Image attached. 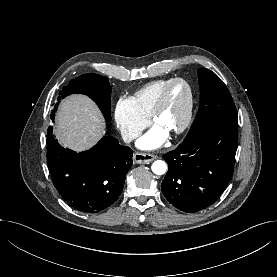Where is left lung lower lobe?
<instances>
[{
	"mask_svg": "<svg viewBox=\"0 0 277 277\" xmlns=\"http://www.w3.org/2000/svg\"><path fill=\"white\" fill-rule=\"evenodd\" d=\"M238 131L205 129L163 155L168 172L161 189L177 209L193 213L211 205L233 175Z\"/></svg>",
	"mask_w": 277,
	"mask_h": 277,
	"instance_id": "0a47b994",
	"label": "left lung lower lobe"
}]
</instances>
